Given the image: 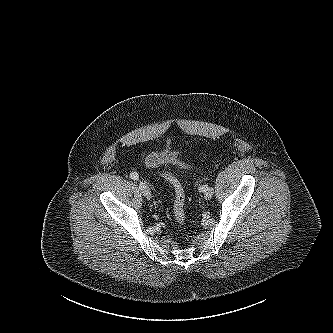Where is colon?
Returning <instances> with one entry per match:
<instances>
[{"mask_svg":"<svg viewBox=\"0 0 333 333\" xmlns=\"http://www.w3.org/2000/svg\"><path fill=\"white\" fill-rule=\"evenodd\" d=\"M160 175L164 180L169 182L174 188L175 191V200L173 206L174 216L177 223L182 225L186 220L184 189L180 181L174 176L170 175L169 173L161 172Z\"/></svg>","mask_w":333,"mask_h":333,"instance_id":"1","label":"colon"}]
</instances>
